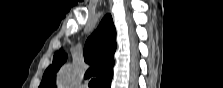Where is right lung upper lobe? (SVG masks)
<instances>
[{
    "instance_id": "1",
    "label": "right lung upper lobe",
    "mask_w": 223,
    "mask_h": 88,
    "mask_svg": "<svg viewBox=\"0 0 223 88\" xmlns=\"http://www.w3.org/2000/svg\"><path fill=\"white\" fill-rule=\"evenodd\" d=\"M116 50V30L110 14L106 15L96 31L87 39L84 46V60L91 67L85 73V78L97 77V85L112 79L114 53ZM63 51L56 52L53 63L43 75L40 88H56V72L66 61Z\"/></svg>"
}]
</instances>
